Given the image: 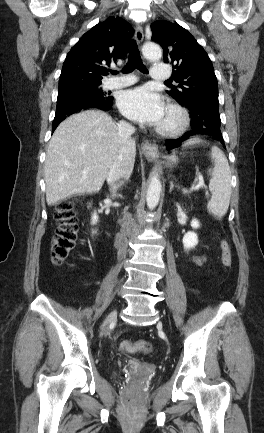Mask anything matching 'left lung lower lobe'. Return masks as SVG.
I'll return each mask as SVG.
<instances>
[{
    "instance_id": "1",
    "label": "left lung lower lobe",
    "mask_w": 264,
    "mask_h": 433,
    "mask_svg": "<svg viewBox=\"0 0 264 433\" xmlns=\"http://www.w3.org/2000/svg\"><path fill=\"white\" fill-rule=\"evenodd\" d=\"M191 115L192 130L181 138L166 140L167 150H171L193 135H206L220 141L224 145L221 133L219 103L215 101L196 100L187 105ZM225 146V145H224Z\"/></svg>"
}]
</instances>
